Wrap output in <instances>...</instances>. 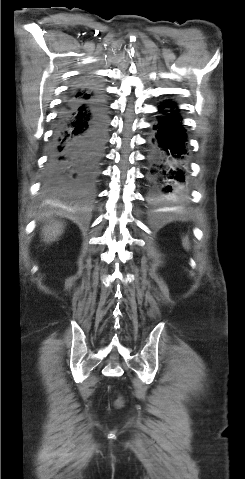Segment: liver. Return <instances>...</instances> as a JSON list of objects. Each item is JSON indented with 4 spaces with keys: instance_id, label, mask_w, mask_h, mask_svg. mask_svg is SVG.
Returning a JSON list of instances; mask_svg holds the SVG:
<instances>
[{
    "instance_id": "liver-1",
    "label": "liver",
    "mask_w": 245,
    "mask_h": 479,
    "mask_svg": "<svg viewBox=\"0 0 245 479\" xmlns=\"http://www.w3.org/2000/svg\"><path fill=\"white\" fill-rule=\"evenodd\" d=\"M63 233V223L50 220L42 229L44 241L49 243L57 240Z\"/></svg>"
}]
</instances>
